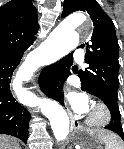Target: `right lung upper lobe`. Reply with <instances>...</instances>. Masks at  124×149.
<instances>
[{
    "label": "right lung upper lobe",
    "mask_w": 124,
    "mask_h": 149,
    "mask_svg": "<svg viewBox=\"0 0 124 149\" xmlns=\"http://www.w3.org/2000/svg\"><path fill=\"white\" fill-rule=\"evenodd\" d=\"M37 10L30 0H11L0 8V54L22 52L36 40Z\"/></svg>",
    "instance_id": "cb5924a9"
}]
</instances>
